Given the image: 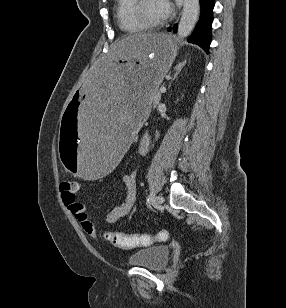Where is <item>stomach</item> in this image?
<instances>
[{
    "mask_svg": "<svg viewBox=\"0 0 286 308\" xmlns=\"http://www.w3.org/2000/svg\"><path fill=\"white\" fill-rule=\"evenodd\" d=\"M176 55L172 38L156 33L127 36L95 60L60 118L58 153L67 173L82 182L116 173Z\"/></svg>",
    "mask_w": 286,
    "mask_h": 308,
    "instance_id": "1",
    "label": "stomach"
}]
</instances>
